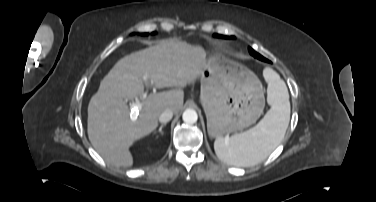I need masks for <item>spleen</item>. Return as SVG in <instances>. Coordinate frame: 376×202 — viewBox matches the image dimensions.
Returning <instances> with one entry per match:
<instances>
[{
  "mask_svg": "<svg viewBox=\"0 0 376 202\" xmlns=\"http://www.w3.org/2000/svg\"><path fill=\"white\" fill-rule=\"evenodd\" d=\"M268 83L267 102L271 109L254 128L230 138L217 137L214 149L218 158L229 165L249 167L264 161L283 140L289 120L287 87L271 68L264 70Z\"/></svg>",
  "mask_w": 376,
  "mask_h": 202,
  "instance_id": "obj_1",
  "label": "spleen"
}]
</instances>
